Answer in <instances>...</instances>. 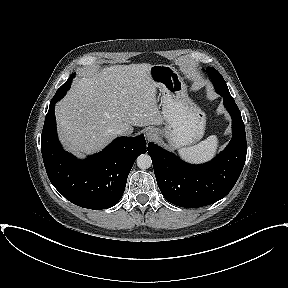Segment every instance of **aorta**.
I'll list each match as a JSON object with an SVG mask.
<instances>
[{
    "label": "aorta",
    "mask_w": 288,
    "mask_h": 288,
    "mask_svg": "<svg viewBox=\"0 0 288 288\" xmlns=\"http://www.w3.org/2000/svg\"><path fill=\"white\" fill-rule=\"evenodd\" d=\"M136 162L137 166L142 170L148 169L152 164L151 157L148 154H141L138 156Z\"/></svg>",
    "instance_id": "762f6f07"
}]
</instances>
